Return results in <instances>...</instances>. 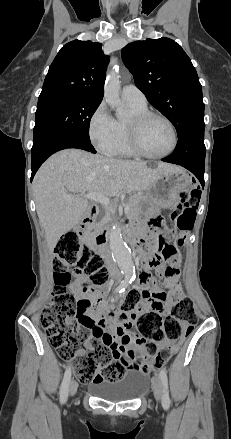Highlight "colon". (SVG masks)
I'll return each mask as SVG.
<instances>
[{"instance_id":"5ec220e1","label":"colon","mask_w":231,"mask_h":439,"mask_svg":"<svg viewBox=\"0 0 231 439\" xmlns=\"http://www.w3.org/2000/svg\"><path fill=\"white\" fill-rule=\"evenodd\" d=\"M199 197L196 190L181 193L183 201L172 217L181 233L193 229ZM183 239L180 237V241ZM162 258L164 261L177 259L176 248L171 245L162 252ZM53 265L56 290L52 301L42 310L40 322L58 356L71 362L76 374L84 382L118 381L131 366L146 373L161 368L172 358L176 348L168 346L159 349L158 344L180 343L191 333L197 322L193 302L188 296L178 299L165 315L155 310L141 314L136 318V327L140 341L145 343L146 357H136L133 365H128L106 346L92 344L91 328L82 317L90 303L78 299L71 289L68 290L70 271L84 278L82 289L87 293L104 286L108 280V270L102 257L84 244L78 234L71 232L59 240L54 251ZM161 273L169 277L170 268L161 269ZM141 281L147 284L149 276L143 274ZM141 300L142 292L132 289L122 302V310L131 321L137 316ZM83 348H86L85 353H81Z\"/></svg>"}]
</instances>
